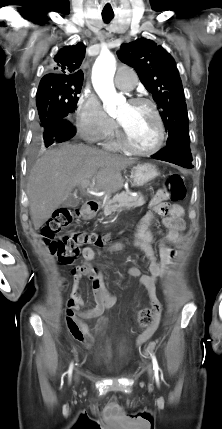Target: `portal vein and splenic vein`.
Segmentation results:
<instances>
[{"mask_svg":"<svg viewBox=\"0 0 222 429\" xmlns=\"http://www.w3.org/2000/svg\"><path fill=\"white\" fill-rule=\"evenodd\" d=\"M81 186H82L83 188H87V187H89V186H90V183H89V181H84V182L81 184ZM91 189H93V188H91Z\"/></svg>","mask_w":222,"mask_h":429,"instance_id":"1","label":"portal vein and splenic vein"}]
</instances>
